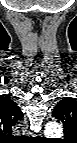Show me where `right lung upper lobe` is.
I'll return each instance as SVG.
<instances>
[{
  "label": "right lung upper lobe",
  "mask_w": 77,
  "mask_h": 143,
  "mask_svg": "<svg viewBox=\"0 0 77 143\" xmlns=\"http://www.w3.org/2000/svg\"><path fill=\"white\" fill-rule=\"evenodd\" d=\"M21 118H23V113L13 100L0 98V130L2 132L11 134L12 126Z\"/></svg>",
  "instance_id": "1"
}]
</instances>
